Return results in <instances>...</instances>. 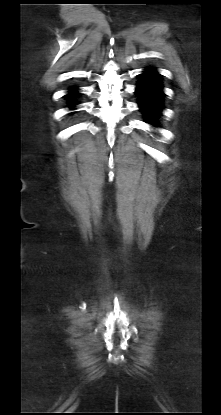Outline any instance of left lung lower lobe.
<instances>
[{
  "label": "left lung lower lobe",
  "mask_w": 221,
  "mask_h": 415,
  "mask_svg": "<svg viewBox=\"0 0 221 415\" xmlns=\"http://www.w3.org/2000/svg\"><path fill=\"white\" fill-rule=\"evenodd\" d=\"M135 93L138 96V105L144 116V121L153 126H158L157 122L163 110V86L161 75L152 67H147L139 75Z\"/></svg>",
  "instance_id": "obj_1"
}]
</instances>
